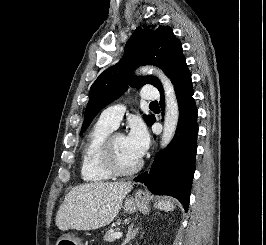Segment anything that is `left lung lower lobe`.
<instances>
[{
	"mask_svg": "<svg viewBox=\"0 0 266 245\" xmlns=\"http://www.w3.org/2000/svg\"><path fill=\"white\" fill-rule=\"evenodd\" d=\"M179 104V121L175 135L166 149L156 155L149 172L136 177L134 181L144 183L156 195L177 198L188 210L190 189L195 171L197 151V108L193 99L191 74L185 58L177 63L170 75ZM160 106L164 104L163 89ZM156 121L155 117L149 125Z\"/></svg>",
	"mask_w": 266,
	"mask_h": 245,
	"instance_id": "obj_1",
	"label": "left lung lower lobe"
}]
</instances>
